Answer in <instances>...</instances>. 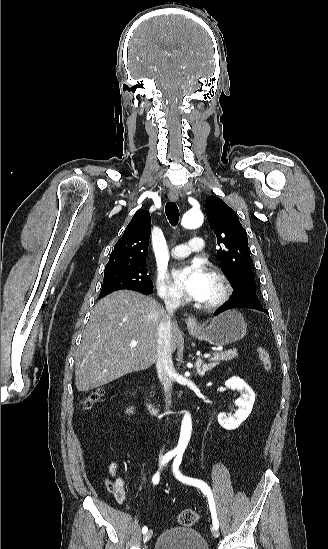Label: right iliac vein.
Instances as JSON below:
<instances>
[{
  "label": "right iliac vein",
  "instance_id": "obj_1",
  "mask_svg": "<svg viewBox=\"0 0 328 549\" xmlns=\"http://www.w3.org/2000/svg\"><path fill=\"white\" fill-rule=\"evenodd\" d=\"M152 534H153L152 530L147 531V532L145 533V535L143 536V542H144V543H145V542H148V541L151 539Z\"/></svg>",
  "mask_w": 328,
  "mask_h": 549
}]
</instances>
